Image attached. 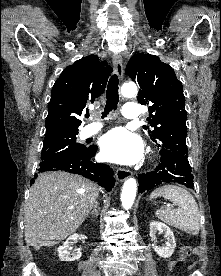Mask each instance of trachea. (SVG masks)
<instances>
[{
  "mask_svg": "<svg viewBox=\"0 0 221 276\" xmlns=\"http://www.w3.org/2000/svg\"><path fill=\"white\" fill-rule=\"evenodd\" d=\"M118 77L116 74L111 76L108 82L107 90H106V106L104 108V112L102 113V118L106 117L109 112L112 110H116L119 102V94H118ZM89 117V114L86 115Z\"/></svg>",
  "mask_w": 221,
  "mask_h": 276,
  "instance_id": "3493384b",
  "label": "trachea"
}]
</instances>
